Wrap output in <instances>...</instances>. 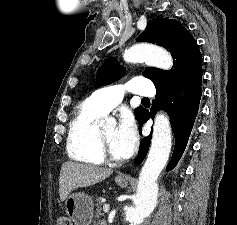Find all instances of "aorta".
Segmentation results:
<instances>
[{"mask_svg":"<svg viewBox=\"0 0 237 225\" xmlns=\"http://www.w3.org/2000/svg\"><path fill=\"white\" fill-rule=\"evenodd\" d=\"M124 60L129 63H142L161 68L172 67L171 55L162 48L137 44L124 52ZM115 123L113 118L102 121ZM171 125L168 117L162 113L155 117L154 130L150 150L146 162L140 172L134 206L126 209V220L129 225H139L153 210L157 194V179L167 164L171 151Z\"/></svg>","mask_w":237,"mask_h":225,"instance_id":"762f6f07","label":"aorta"}]
</instances>
